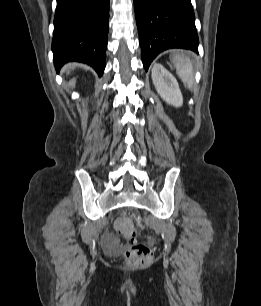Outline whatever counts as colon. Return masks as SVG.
<instances>
[{"label": "colon", "mask_w": 261, "mask_h": 306, "mask_svg": "<svg viewBox=\"0 0 261 306\" xmlns=\"http://www.w3.org/2000/svg\"><path fill=\"white\" fill-rule=\"evenodd\" d=\"M117 230L120 235L131 240L135 235V227L133 222L122 217L117 221ZM152 258V252L148 247L143 245L132 244L124 253V261L131 267H142L147 265Z\"/></svg>", "instance_id": "5ec220e1"}]
</instances>
